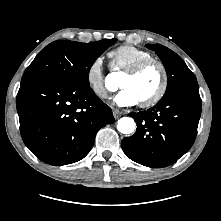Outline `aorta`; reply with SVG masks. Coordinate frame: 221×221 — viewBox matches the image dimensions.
Here are the masks:
<instances>
[{
    "label": "aorta",
    "instance_id": "obj_1",
    "mask_svg": "<svg viewBox=\"0 0 221 221\" xmlns=\"http://www.w3.org/2000/svg\"><path fill=\"white\" fill-rule=\"evenodd\" d=\"M115 82V77L113 75H110L106 79V84L109 85L110 83ZM135 121L130 117H123L119 119L117 129L121 134L127 135L131 134L135 130Z\"/></svg>",
    "mask_w": 221,
    "mask_h": 221
}]
</instances>
